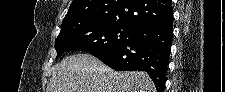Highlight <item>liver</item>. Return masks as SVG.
I'll return each instance as SVG.
<instances>
[{"instance_id": "obj_1", "label": "liver", "mask_w": 225, "mask_h": 92, "mask_svg": "<svg viewBox=\"0 0 225 92\" xmlns=\"http://www.w3.org/2000/svg\"><path fill=\"white\" fill-rule=\"evenodd\" d=\"M48 92H155L145 72H118L90 54L64 58L52 68Z\"/></svg>"}]
</instances>
